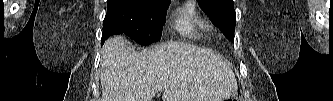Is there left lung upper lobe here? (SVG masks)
Returning <instances> with one entry per match:
<instances>
[{
  "label": "left lung upper lobe",
  "instance_id": "5c2ea615",
  "mask_svg": "<svg viewBox=\"0 0 333 101\" xmlns=\"http://www.w3.org/2000/svg\"><path fill=\"white\" fill-rule=\"evenodd\" d=\"M211 21L228 37L234 40L235 10L233 0H197Z\"/></svg>",
  "mask_w": 333,
  "mask_h": 101
}]
</instances>
